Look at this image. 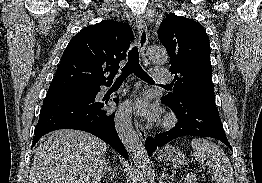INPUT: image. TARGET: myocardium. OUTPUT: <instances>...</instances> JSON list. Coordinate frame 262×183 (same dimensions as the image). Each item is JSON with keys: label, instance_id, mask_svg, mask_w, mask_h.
I'll list each match as a JSON object with an SVG mask.
<instances>
[{"label": "myocardium", "instance_id": "1", "mask_svg": "<svg viewBox=\"0 0 262 183\" xmlns=\"http://www.w3.org/2000/svg\"><path fill=\"white\" fill-rule=\"evenodd\" d=\"M175 123H176V116L172 112L167 113L162 120V125L165 128H171L172 126L175 125Z\"/></svg>", "mask_w": 262, "mask_h": 183}]
</instances>
